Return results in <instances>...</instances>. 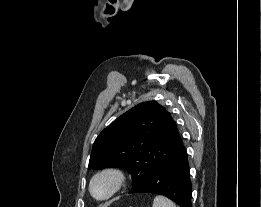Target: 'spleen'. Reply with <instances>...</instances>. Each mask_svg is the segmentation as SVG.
I'll list each match as a JSON object with an SVG mask.
<instances>
[{"label": "spleen", "mask_w": 261, "mask_h": 207, "mask_svg": "<svg viewBox=\"0 0 261 207\" xmlns=\"http://www.w3.org/2000/svg\"><path fill=\"white\" fill-rule=\"evenodd\" d=\"M152 207H176V205L164 196H156L153 200Z\"/></svg>", "instance_id": "1"}]
</instances>
